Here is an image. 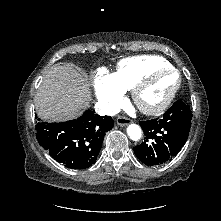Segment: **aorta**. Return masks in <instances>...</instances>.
Listing matches in <instances>:
<instances>
[{
    "label": "aorta",
    "instance_id": "obj_1",
    "mask_svg": "<svg viewBox=\"0 0 221 221\" xmlns=\"http://www.w3.org/2000/svg\"><path fill=\"white\" fill-rule=\"evenodd\" d=\"M127 133L133 141L140 140V138L142 136L141 128L136 124H130L127 127Z\"/></svg>",
    "mask_w": 221,
    "mask_h": 221
}]
</instances>
